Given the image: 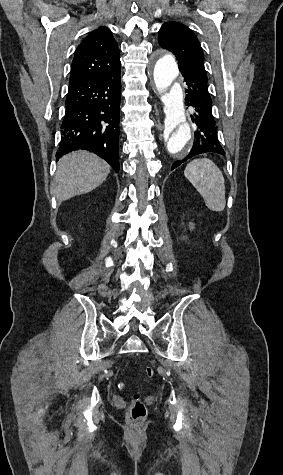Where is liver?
Instances as JSON below:
<instances>
[{
  "label": "liver",
  "mask_w": 283,
  "mask_h": 475,
  "mask_svg": "<svg viewBox=\"0 0 283 475\" xmlns=\"http://www.w3.org/2000/svg\"><path fill=\"white\" fill-rule=\"evenodd\" d=\"M110 170L111 166L105 160L85 150L63 156L55 174L57 200L64 202L73 196L92 192L103 184Z\"/></svg>",
  "instance_id": "obj_1"
}]
</instances>
